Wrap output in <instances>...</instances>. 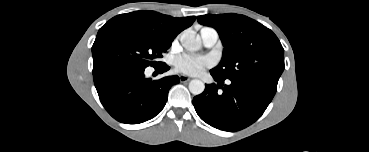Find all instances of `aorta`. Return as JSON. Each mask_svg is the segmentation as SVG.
<instances>
[{
  "mask_svg": "<svg viewBox=\"0 0 369 152\" xmlns=\"http://www.w3.org/2000/svg\"><path fill=\"white\" fill-rule=\"evenodd\" d=\"M180 42L182 46L190 51L195 52L201 48V42L194 35L189 33H184L180 37ZM205 89V84L198 79H193L189 82V90L193 95L201 94Z\"/></svg>",
  "mask_w": 369,
  "mask_h": 152,
  "instance_id": "aorta-1",
  "label": "aorta"
}]
</instances>
